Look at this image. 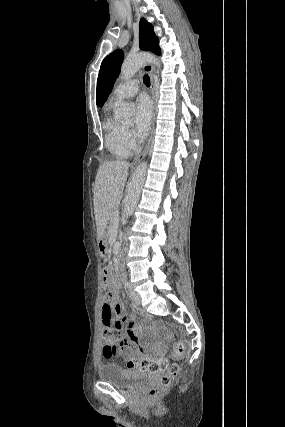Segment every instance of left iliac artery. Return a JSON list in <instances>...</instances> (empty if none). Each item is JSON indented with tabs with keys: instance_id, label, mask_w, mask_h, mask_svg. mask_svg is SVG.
<instances>
[{
	"instance_id": "1",
	"label": "left iliac artery",
	"mask_w": 285,
	"mask_h": 427,
	"mask_svg": "<svg viewBox=\"0 0 285 427\" xmlns=\"http://www.w3.org/2000/svg\"><path fill=\"white\" fill-rule=\"evenodd\" d=\"M124 286L126 288H131L130 283L128 281H126V280L124 281Z\"/></svg>"
}]
</instances>
